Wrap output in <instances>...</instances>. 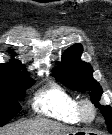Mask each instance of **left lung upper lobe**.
Returning a JSON list of instances; mask_svg holds the SVG:
<instances>
[{
	"label": "left lung upper lobe",
	"instance_id": "1",
	"mask_svg": "<svg viewBox=\"0 0 112 135\" xmlns=\"http://www.w3.org/2000/svg\"><path fill=\"white\" fill-rule=\"evenodd\" d=\"M83 49L80 44H75L68 48L62 61L58 63L52 76L65 86L79 92H89L92 102L105 117V122L109 132L112 133V108L108 105L99 104L102 95V88L99 83L92 79L93 69L90 64L81 61L80 55Z\"/></svg>",
	"mask_w": 112,
	"mask_h": 135
}]
</instances>
